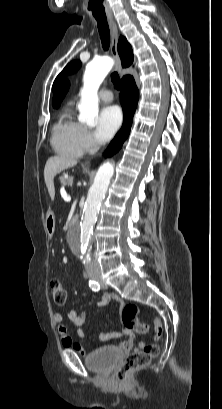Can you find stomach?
I'll return each mask as SVG.
<instances>
[{
    "instance_id": "0dacf381",
    "label": "stomach",
    "mask_w": 222,
    "mask_h": 409,
    "mask_svg": "<svg viewBox=\"0 0 222 409\" xmlns=\"http://www.w3.org/2000/svg\"><path fill=\"white\" fill-rule=\"evenodd\" d=\"M45 229L48 234H52L55 230V217L52 212H49L46 216Z\"/></svg>"
}]
</instances>
